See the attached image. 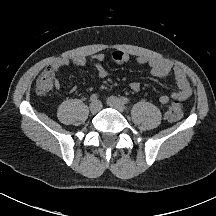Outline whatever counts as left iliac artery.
Listing matches in <instances>:
<instances>
[{
	"mask_svg": "<svg viewBox=\"0 0 216 216\" xmlns=\"http://www.w3.org/2000/svg\"><path fill=\"white\" fill-rule=\"evenodd\" d=\"M121 101L124 104H128L129 103V99L127 97H121Z\"/></svg>",
	"mask_w": 216,
	"mask_h": 216,
	"instance_id": "obj_1",
	"label": "left iliac artery"
}]
</instances>
